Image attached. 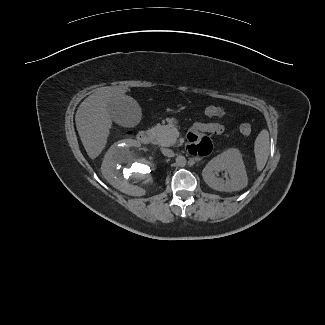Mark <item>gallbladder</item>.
<instances>
[{
    "mask_svg": "<svg viewBox=\"0 0 325 325\" xmlns=\"http://www.w3.org/2000/svg\"><path fill=\"white\" fill-rule=\"evenodd\" d=\"M110 117L123 127L135 126L140 122L141 109L138 103L129 97H119L107 106Z\"/></svg>",
    "mask_w": 325,
    "mask_h": 325,
    "instance_id": "bac80fb5",
    "label": "gallbladder"
}]
</instances>
